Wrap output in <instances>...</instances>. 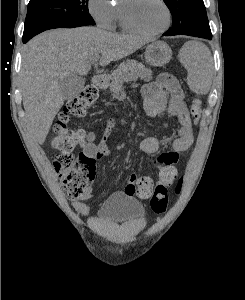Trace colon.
<instances>
[{
    "label": "colon",
    "mask_w": 245,
    "mask_h": 300,
    "mask_svg": "<svg viewBox=\"0 0 245 300\" xmlns=\"http://www.w3.org/2000/svg\"><path fill=\"white\" fill-rule=\"evenodd\" d=\"M97 96L98 90L95 86H85L79 94L66 103L54 126L55 134L51 139V146L60 152L54 160V166L64 191L71 199L81 197L93 181L95 160L82 154H79L78 157L72 155L73 149L84 143L85 134L83 131H73L68 126L72 117H80L86 114ZM191 114L193 120L198 122L201 116L200 101L198 99L193 101ZM181 187L182 179L177 183V193L181 191ZM136 191L140 197L150 198V206L155 213L166 211L168 188L166 190H155V185L150 178L141 177L137 181Z\"/></svg>",
    "instance_id": "colon-1"
}]
</instances>
